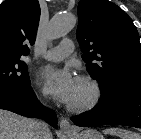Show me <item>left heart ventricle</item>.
Instances as JSON below:
<instances>
[{
	"instance_id": "1",
	"label": "left heart ventricle",
	"mask_w": 141,
	"mask_h": 139,
	"mask_svg": "<svg viewBox=\"0 0 141 139\" xmlns=\"http://www.w3.org/2000/svg\"><path fill=\"white\" fill-rule=\"evenodd\" d=\"M89 94L90 90L88 86L82 82L76 81L75 90L69 103L80 104L87 100Z\"/></svg>"
}]
</instances>
